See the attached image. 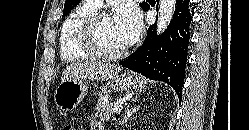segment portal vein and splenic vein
Listing matches in <instances>:
<instances>
[{"label":"portal vein and splenic vein","instance_id":"18ae733b","mask_svg":"<svg viewBox=\"0 0 249 130\" xmlns=\"http://www.w3.org/2000/svg\"><path fill=\"white\" fill-rule=\"evenodd\" d=\"M122 108H123L122 105H118V106H116V107L113 109V112H114V113H119V112H121Z\"/></svg>","mask_w":249,"mask_h":130}]
</instances>
